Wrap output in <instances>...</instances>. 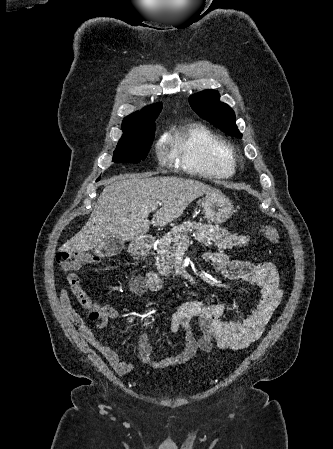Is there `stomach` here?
<instances>
[{
  "mask_svg": "<svg viewBox=\"0 0 333 449\" xmlns=\"http://www.w3.org/2000/svg\"><path fill=\"white\" fill-rule=\"evenodd\" d=\"M202 207L209 225L222 224L235 212L232 201L220 192L207 195L202 201Z\"/></svg>",
  "mask_w": 333,
  "mask_h": 449,
  "instance_id": "stomach-1",
  "label": "stomach"
}]
</instances>
